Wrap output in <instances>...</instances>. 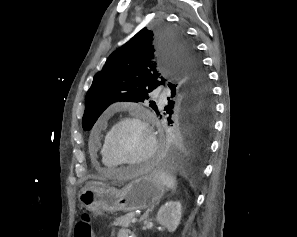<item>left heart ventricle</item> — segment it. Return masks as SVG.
Segmentation results:
<instances>
[{
    "mask_svg": "<svg viewBox=\"0 0 297 237\" xmlns=\"http://www.w3.org/2000/svg\"><path fill=\"white\" fill-rule=\"evenodd\" d=\"M149 142L145 130L137 123L120 126L111 137V147L122 159L136 160L146 154Z\"/></svg>",
    "mask_w": 297,
    "mask_h": 237,
    "instance_id": "1",
    "label": "left heart ventricle"
}]
</instances>
